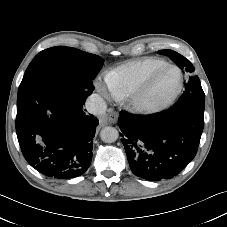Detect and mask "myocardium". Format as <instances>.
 I'll return each instance as SVG.
<instances>
[{
    "instance_id": "1",
    "label": "myocardium",
    "mask_w": 227,
    "mask_h": 227,
    "mask_svg": "<svg viewBox=\"0 0 227 227\" xmlns=\"http://www.w3.org/2000/svg\"><path fill=\"white\" fill-rule=\"evenodd\" d=\"M174 69L179 75L176 88L164 99L158 102H148L147 96L150 93L154 83L165 71ZM183 87V73L176 65L168 64L154 73H152L135 91H133L127 99V105L131 111L142 114L152 115L159 113L169 107L180 94Z\"/></svg>"
}]
</instances>
